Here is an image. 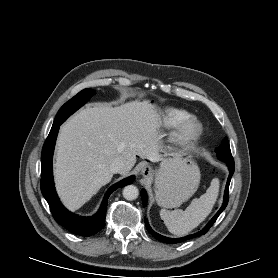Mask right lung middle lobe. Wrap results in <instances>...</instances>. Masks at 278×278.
Instances as JSON below:
<instances>
[{
	"mask_svg": "<svg viewBox=\"0 0 278 278\" xmlns=\"http://www.w3.org/2000/svg\"><path fill=\"white\" fill-rule=\"evenodd\" d=\"M95 94L92 89H84L66 102L58 111L53 124L63 123L72 113L84 105Z\"/></svg>",
	"mask_w": 278,
	"mask_h": 278,
	"instance_id": "obj_1",
	"label": "right lung middle lobe"
}]
</instances>
